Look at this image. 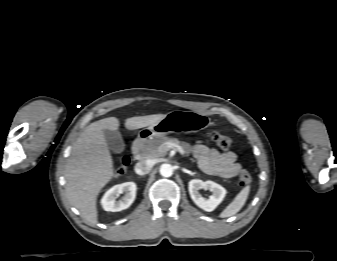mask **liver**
I'll list each match as a JSON object with an SVG mask.
<instances>
[{
    "mask_svg": "<svg viewBox=\"0 0 337 261\" xmlns=\"http://www.w3.org/2000/svg\"><path fill=\"white\" fill-rule=\"evenodd\" d=\"M165 114L137 116L126 119L128 130L150 126ZM120 126L115 117L104 118L88 125L72 147L65 169L66 195L90 224L98 222L97 197L114 176V163L103 131H116Z\"/></svg>",
    "mask_w": 337,
    "mask_h": 261,
    "instance_id": "liver-1",
    "label": "liver"
}]
</instances>
